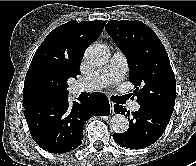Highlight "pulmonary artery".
I'll return each instance as SVG.
<instances>
[{"label":"pulmonary artery","instance_id":"1","mask_svg":"<svg viewBox=\"0 0 196 166\" xmlns=\"http://www.w3.org/2000/svg\"><path fill=\"white\" fill-rule=\"evenodd\" d=\"M127 72V60L121 51H115L110 62L102 69L77 80L72 90L75 93L83 91H97L101 88L120 81ZM131 110L138 111L140 106L137 101L130 105Z\"/></svg>","mask_w":196,"mask_h":166}]
</instances>
